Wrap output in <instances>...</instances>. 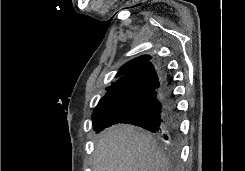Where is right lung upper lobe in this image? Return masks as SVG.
I'll return each instance as SVG.
<instances>
[{"label":"right lung upper lobe","instance_id":"right-lung-upper-lobe-1","mask_svg":"<svg viewBox=\"0 0 245 171\" xmlns=\"http://www.w3.org/2000/svg\"><path fill=\"white\" fill-rule=\"evenodd\" d=\"M150 59L149 55H143L124 64L116 75L118 79L106 88L107 93L100 102L128 100L160 89L164 83L162 69L156 70Z\"/></svg>","mask_w":245,"mask_h":171}]
</instances>
